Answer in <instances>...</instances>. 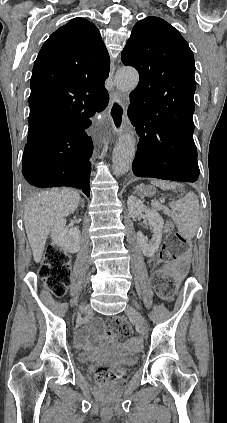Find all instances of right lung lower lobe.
Returning a JSON list of instances; mask_svg holds the SVG:
<instances>
[{"label":"right lung lower lobe","instance_id":"98d812e1","mask_svg":"<svg viewBox=\"0 0 227 423\" xmlns=\"http://www.w3.org/2000/svg\"><path fill=\"white\" fill-rule=\"evenodd\" d=\"M107 104L76 102L30 107L29 121L60 118L70 122L68 128L45 140L26 144L22 173L30 185L73 187L89 197L93 142L85 129L91 125L89 118L103 111Z\"/></svg>","mask_w":227,"mask_h":423}]
</instances>
